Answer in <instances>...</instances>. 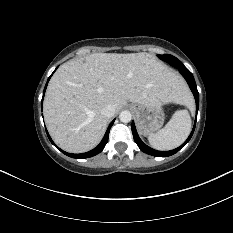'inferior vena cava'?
<instances>
[{
	"label": "inferior vena cava",
	"instance_id": "obj_1",
	"mask_svg": "<svg viewBox=\"0 0 233 233\" xmlns=\"http://www.w3.org/2000/svg\"><path fill=\"white\" fill-rule=\"evenodd\" d=\"M101 114L107 118L112 117L115 114V107L112 104L105 105L102 110Z\"/></svg>",
	"mask_w": 233,
	"mask_h": 233
}]
</instances>
